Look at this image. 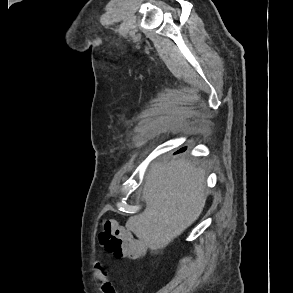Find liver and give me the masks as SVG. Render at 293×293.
<instances>
[{
    "label": "liver",
    "mask_w": 293,
    "mask_h": 293,
    "mask_svg": "<svg viewBox=\"0 0 293 293\" xmlns=\"http://www.w3.org/2000/svg\"><path fill=\"white\" fill-rule=\"evenodd\" d=\"M145 210L126 227L152 250L165 248L200 216L206 201L205 171L180 158L155 162L143 189Z\"/></svg>",
    "instance_id": "6515ba94"
}]
</instances>
